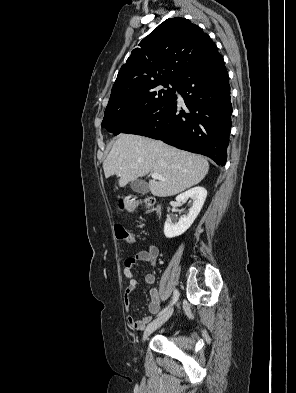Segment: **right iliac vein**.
<instances>
[{"mask_svg": "<svg viewBox=\"0 0 296 393\" xmlns=\"http://www.w3.org/2000/svg\"><path fill=\"white\" fill-rule=\"evenodd\" d=\"M172 313L173 309H170L163 315L155 319L153 322H151L144 331L143 341L146 340L148 336L152 334L155 330L161 327L171 317Z\"/></svg>", "mask_w": 296, "mask_h": 393, "instance_id": "63e3f726", "label": "right iliac vein"}]
</instances>
